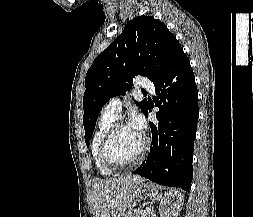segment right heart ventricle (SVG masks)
<instances>
[{
	"label": "right heart ventricle",
	"instance_id": "e07e8e85",
	"mask_svg": "<svg viewBox=\"0 0 253 217\" xmlns=\"http://www.w3.org/2000/svg\"><path fill=\"white\" fill-rule=\"evenodd\" d=\"M116 118L102 114L91 142V154L95 167L101 175H112L115 171L103 165L99 156L100 142Z\"/></svg>",
	"mask_w": 253,
	"mask_h": 217
}]
</instances>
